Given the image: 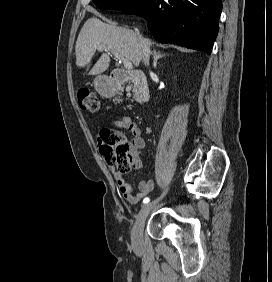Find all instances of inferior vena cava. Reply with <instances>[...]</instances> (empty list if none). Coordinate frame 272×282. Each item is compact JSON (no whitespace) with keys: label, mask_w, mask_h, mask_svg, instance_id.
<instances>
[{"label":"inferior vena cava","mask_w":272,"mask_h":282,"mask_svg":"<svg viewBox=\"0 0 272 282\" xmlns=\"http://www.w3.org/2000/svg\"><path fill=\"white\" fill-rule=\"evenodd\" d=\"M137 34H139V32L137 31ZM140 35V34H139ZM149 55H150V50L149 48L144 44V42L142 41V57L143 60L145 62V64H149Z\"/></svg>","instance_id":"inferior-vena-cava-1"}]
</instances>
